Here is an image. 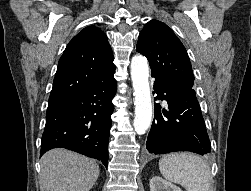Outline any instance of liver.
Returning a JSON list of instances; mask_svg holds the SVG:
<instances>
[{"mask_svg":"<svg viewBox=\"0 0 251 191\" xmlns=\"http://www.w3.org/2000/svg\"><path fill=\"white\" fill-rule=\"evenodd\" d=\"M40 181L45 191H89L99 175L94 159L54 147L41 157Z\"/></svg>","mask_w":251,"mask_h":191,"instance_id":"6515ba94","label":"liver"}]
</instances>
